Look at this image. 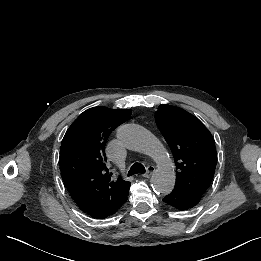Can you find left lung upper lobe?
Here are the masks:
<instances>
[{
  "mask_svg": "<svg viewBox=\"0 0 261 261\" xmlns=\"http://www.w3.org/2000/svg\"><path fill=\"white\" fill-rule=\"evenodd\" d=\"M155 118L174 156L175 187L201 197L213 179L217 163L211 133L197 117L179 107L160 105Z\"/></svg>",
  "mask_w": 261,
  "mask_h": 261,
  "instance_id": "obj_1",
  "label": "left lung upper lobe"
}]
</instances>
